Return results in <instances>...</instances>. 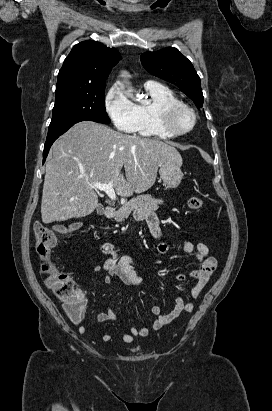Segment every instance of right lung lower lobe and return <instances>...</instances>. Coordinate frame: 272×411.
<instances>
[{
  "label": "right lung lower lobe",
  "mask_w": 272,
  "mask_h": 411,
  "mask_svg": "<svg viewBox=\"0 0 272 411\" xmlns=\"http://www.w3.org/2000/svg\"><path fill=\"white\" fill-rule=\"evenodd\" d=\"M68 129H69V128H68ZM68 129H67V130H68ZM67 130H65L63 133H65ZM63 133L58 134V135H56V136L47 137L46 142H45V145H44V151H43V163H44L45 160H46V157H47V155H48V153H49V150H50L51 145H52L53 142H54L60 135H62Z\"/></svg>",
  "instance_id": "obj_1"
}]
</instances>
